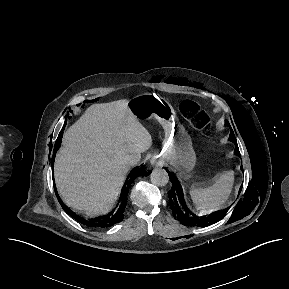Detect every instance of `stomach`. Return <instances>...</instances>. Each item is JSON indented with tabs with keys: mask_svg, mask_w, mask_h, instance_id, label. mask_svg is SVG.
I'll return each mask as SVG.
<instances>
[{
	"mask_svg": "<svg viewBox=\"0 0 289 289\" xmlns=\"http://www.w3.org/2000/svg\"><path fill=\"white\" fill-rule=\"evenodd\" d=\"M128 107L138 120L148 116L158 120L165 131L166 161L182 173L192 172L196 164V153L192 140L180 124L172 105L157 95L145 94L129 100Z\"/></svg>",
	"mask_w": 289,
	"mask_h": 289,
	"instance_id": "0dacf381",
	"label": "stomach"
}]
</instances>
